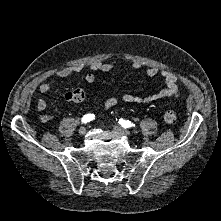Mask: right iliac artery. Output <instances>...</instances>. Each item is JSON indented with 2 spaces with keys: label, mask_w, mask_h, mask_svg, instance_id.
Listing matches in <instances>:
<instances>
[{
  "label": "right iliac artery",
  "mask_w": 221,
  "mask_h": 221,
  "mask_svg": "<svg viewBox=\"0 0 221 221\" xmlns=\"http://www.w3.org/2000/svg\"><path fill=\"white\" fill-rule=\"evenodd\" d=\"M94 118H95V115L89 113V114L84 115V117L82 118V122L86 124L87 122L92 121Z\"/></svg>",
  "instance_id": "right-iliac-artery-1"
}]
</instances>
